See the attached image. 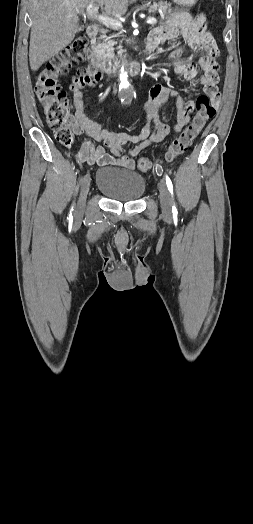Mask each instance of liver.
Instances as JSON below:
<instances>
[{"label": "liver", "instance_id": "obj_1", "mask_svg": "<svg viewBox=\"0 0 253 524\" xmlns=\"http://www.w3.org/2000/svg\"><path fill=\"white\" fill-rule=\"evenodd\" d=\"M136 0H31L29 61L33 71L69 45L79 30L78 15L91 3L122 16Z\"/></svg>", "mask_w": 253, "mask_h": 524}]
</instances>
